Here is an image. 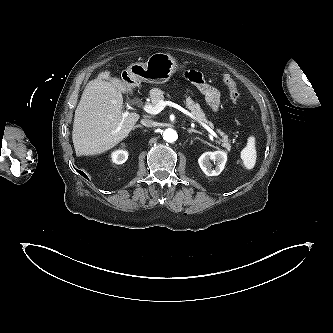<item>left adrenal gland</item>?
I'll return each instance as SVG.
<instances>
[{"instance_id":"a2214340","label":"left adrenal gland","mask_w":333,"mask_h":333,"mask_svg":"<svg viewBox=\"0 0 333 333\" xmlns=\"http://www.w3.org/2000/svg\"><path fill=\"white\" fill-rule=\"evenodd\" d=\"M187 132L189 133V134H191V133H198V134H202L201 132H199V131H197V130H195V129H187Z\"/></svg>"}]
</instances>
